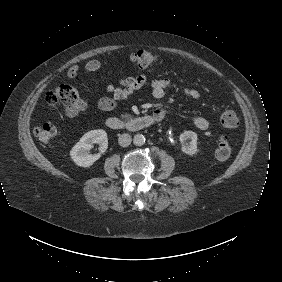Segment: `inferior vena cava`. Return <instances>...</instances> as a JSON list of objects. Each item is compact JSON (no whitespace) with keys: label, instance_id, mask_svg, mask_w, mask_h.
I'll use <instances>...</instances> for the list:
<instances>
[{"label":"inferior vena cava","instance_id":"1","mask_svg":"<svg viewBox=\"0 0 282 282\" xmlns=\"http://www.w3.org/2000/svg\"><path fill=\"white\" fill-rule=\"evenodd\" d=\"M131 142H132V138L127 133L121 134L118 138V143L122 147H128L131 144Z\"/></svg>","mask_w":282,"mask_h":282}]
</instances>
